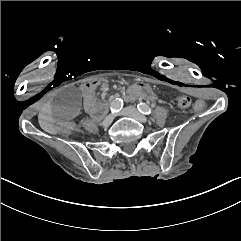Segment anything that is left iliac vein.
<instances>
[{
	"instance_id": "1",
	"label": "left iliac vein",
	"mask_w": 241,
	"mask_h": 241,
	"mask_svg": "<svg viewBox=\"0 0 241 241\" xmlns=\"http://www.w3.org/2000/svg\"><path fill=\"white\" fill-rule=\"evenodd\" d=\"M116 115H124L128 117H132L141 123H146L148 121L147 118L134 107H126Z\"/></svg>"
}]
</instances>
